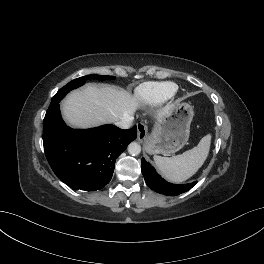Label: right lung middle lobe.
<instances>
[{
  "label": "right lung middle lobe",
  "instance_id": "obj_1",
  "mask_svg": "<svg viewBox=\"0 0 264 264\" xmlns=\"http://www.w3.org/2000/svg\"><path fill=\"white\" fill-rule=\"evenodd\" d=\"M114 76H103V75H87L84 77L77 78L71 82H69L67 85H65L62 89H60L52 98L51 104H55L60 102V100L71 90L80 87L85 83L87 79H98V80H112L114 79Z\"/></svg>",
  "mask_w": 264,
  "mask_h": 264
}]
</instances>
